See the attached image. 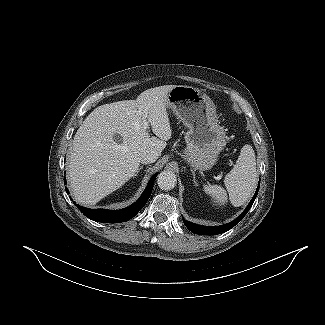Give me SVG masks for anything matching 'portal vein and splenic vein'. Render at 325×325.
<instances>
[{"label":"portal vein and splenic vein","mask_w":325,"mask_h":325,"mask_svg":"<svg viewBox=\"0 0 325 325\" xmlns=\"http://www.w3.org/2000/svg\"><path fill=\"white\" fill-rule=\"evenodd\" d=\"M142 121H143V128L147 130L149 128V122L146 120V116L142 117Z\"/></svg>","instance_id":"portal-vein-and-splenic-vein-1"}]
</instances>
